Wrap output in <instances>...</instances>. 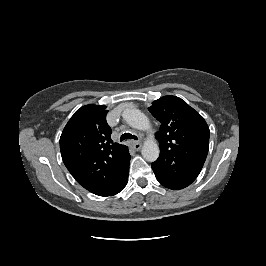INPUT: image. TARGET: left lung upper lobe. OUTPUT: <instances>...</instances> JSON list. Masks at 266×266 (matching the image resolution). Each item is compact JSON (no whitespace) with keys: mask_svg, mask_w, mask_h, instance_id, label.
I'll return each instance as SVG.
<instances>
[{"mask_svg":"<svg viewBox=\"0 0 266 266\" xmlns=\"http://www.w3.org/2000/svg\"><path fill=\"white\" fill-rule=\"evenodd\" d=\"M161 122L155 134L160 156L152 163L154 173L179 183L191 184L200 173L209 149V127L184 100L164 96L148 108Z\"/></svg>","mask_w":266,"mask_h":266,"instance_id":"5c2ea615","label":"left lung upper lobe"}]
</instances>
